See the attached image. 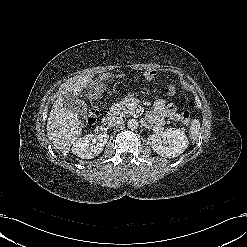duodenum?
<instances>
[{"mask_svg":"<svg viewBox=\"0 0 247 247\" xmlns=\"http://www.w3.org/2000/svg\"><path fill=\"white\" fill-rule=\"evenodd\" d=\"M111 118H112V114H111V113H108V114L104 117V119H103V124L109 123V121L111 120Z\"/></svg>","mask_w":247,"mask_h":247,"instance_id":"1","label":"duodenum"}]
</instances>
